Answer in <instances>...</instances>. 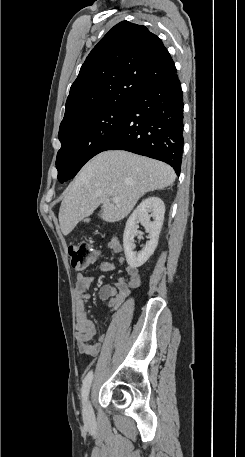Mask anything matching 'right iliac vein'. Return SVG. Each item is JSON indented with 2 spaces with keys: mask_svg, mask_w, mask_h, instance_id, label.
<instances>
[{
  "mask_svg": "<svg viewBox=\"0 0 245 457\" xmlns=\"http://www.w3.org/2000/svg\"><path fill=\"white\" fill-rule=\"evenodd\" d=\"M83 417L86 423H92L94 421V413L91 407V401L88 399L85 401L83 406Z\"/></svg>",
  "mask_w": 245,
  "mask_h": 457,
  "instance_id": "63e3f726",
  "label": "right iliac vein"
}]
</instances>
